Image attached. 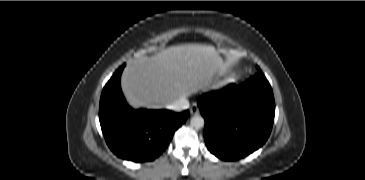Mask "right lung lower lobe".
I'll return each instance as SVG.
<instances>
[{
    "instance_id": "obj_1",
    "label": "right lung lower lobe",
    "mask_w": 365,
    "mask_h": 180,
    "mask_svg": "<svg viewBox=\"0 0 365 180\" xmlns=\"http://www.w3.org/2000/svg\"><path fill=\"white\" fill-rule=\"evenodd\" d=\"M119 67L103 88L99 120L106 143L118 157L134 162L152 161L168 146L176 129L188 118L189 111L134 110L126 103Z\"/></svg>"
}]
</instances>
